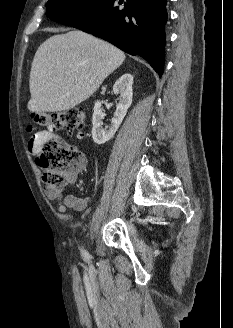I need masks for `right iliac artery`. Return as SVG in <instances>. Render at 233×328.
<instances>
[{
	"label": "right iliac artery",
	"mask_w": 233,
	"mask_h": 328,
	"mask_svg": "<svg viewBox=\"0 0 233 328\" xmlns=\"http://www.w3.org/2000/svg\"><path fill=\"white\" fill-rule=\"evenodd\" d=\"M81 254L86 260L90 259L89 253L84 248L81 250Z\"/></svg>",
	"instance_id": "1"
}]
</instances>
